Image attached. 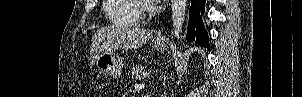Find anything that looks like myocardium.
I'll use <instances>...</instances> for the list:
<instances>
[{"instance_id":"f54148a6","label":"myocardium","mask_w":302,"mask_h":97,"mask_svg":"<svg viewBox=\"0 0 302 97\" xmlns=\"http://www.w3.org/2000/svg\"><path fill=\"white\" fill-rule=\"evenodd\" d=\"M135 3L137 10L142 14L152 10V6L144 0H135Z\"/></svg>"}]
</instances>
